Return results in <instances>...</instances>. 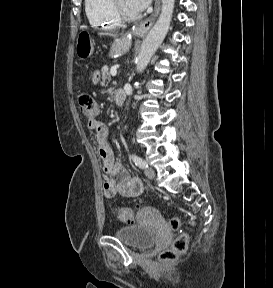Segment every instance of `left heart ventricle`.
Instances as JSON below:
<instances>
[{
    "label": "left heart ventricle",
    "mask_w": 273,
    "mask_h": 288,
    "mask_svg": "<svg viewBox=\"0 0 273 288\" xmlns=\"http://www.w3.org/2000/svg\"><path fill=\"white\" fill-rule=\"evenodd\" d=\"M119 4L128 14H137V12L130 6L128 0H119Z\"/></svg>",
    "instance_id": "left-heart-ventricle-1"
}]
</instances>
